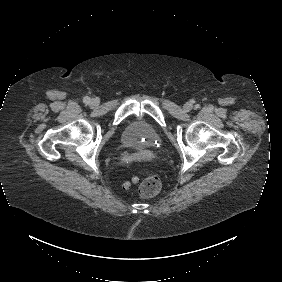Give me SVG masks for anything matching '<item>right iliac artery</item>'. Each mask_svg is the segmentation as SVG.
Wrapping results in <instances>:
<instances>
[{"label": "right iliac artery", "mask_w": 282, "mask_h": 282, "mask_svg": "<svg viewBox=\"0 0 282 282\" xmlns=\"http://www.w3.org/2000/svg\"><path fill=\"white\" fill-rule=\"evenodd\" d=\"M84 103L88 104L90 103V98L88 96L84 97L83 99Z\"/></svg>", "instance_id": "obj_1"}]
</instances>
